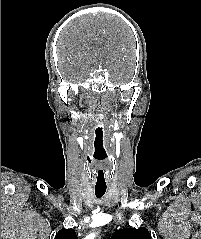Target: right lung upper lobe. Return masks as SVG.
<instances>
[{"label": "right lung upper lobe", "mask_w": 201, "mask_h": 239, "mask_svg": "<svg viewBox=\"0 0 201 239\" xmlns=\"http://www.w3.org/2000/svg\"><path fill=\"white\" fill-rule=\"evenodd\" d=\"M54 239H77L74 229H61L58 231Z\"/></svg>", "instance_id": "right-lung-upper-lobe-1"}]
</instances>
